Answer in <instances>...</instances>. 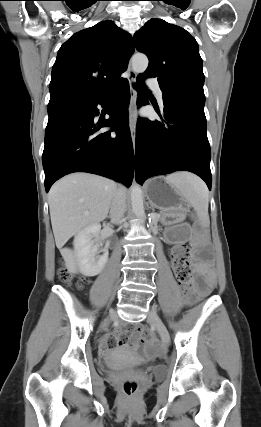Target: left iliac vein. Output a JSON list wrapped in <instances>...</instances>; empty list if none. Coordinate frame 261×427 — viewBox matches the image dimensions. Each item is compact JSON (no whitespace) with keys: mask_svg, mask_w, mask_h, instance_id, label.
Wrapping results in <instances>:
<instances>
[{"mask_svg":"<svg viewBox=\"0 0 261 427\" xmlns=\"http://www.w3.org/2000/svg\"><path fill=\"white\" fill-rule=\"evenodd\" d=\"M147 319L150 322V324L156 328L163 343L165 345H169L170 344L169 332L166 326L164 325V323L162 322V320L160 319V317L158 316L155 308L150 309Z\"/></svg>","mask_w":261,"mask_h":427,"instance_id":"4c4485c4","label":"left iliac vein"}]
</instances>
